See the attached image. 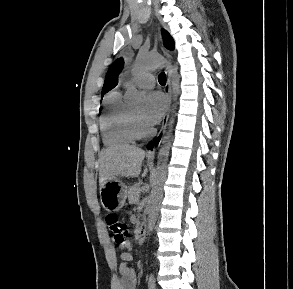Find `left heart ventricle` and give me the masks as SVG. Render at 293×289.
I'll list each match as a JSON object with an SVG mask.
<instances>
[{
    "label": "left heart ventricle",
    "instance_id": "left-heart-ventricle-1",
    "mask_svg": "<svg viewBox=\"0 0 293 289\" xmlns=\"http://www.w3.org/2000/svg\"><path fill=\"white\" fill-rule=\"evenodd\" d=\"M132 114L142 123L143 122V111L141 109H136L132 111ZM145 125V124H144Z\"/></svg>",
    "mask_w": 293,
    "mask_h": 289
}]
</instances>
